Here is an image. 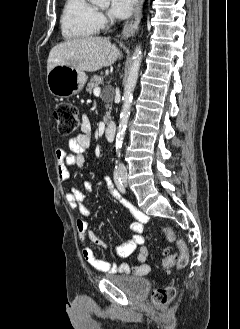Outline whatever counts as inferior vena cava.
Wrapping results in <instances>:
<instances>
[{
	"instance_id": "602c4592",
	"label": "inferior vena cava",
	"mask_w": 240,
	"mask_h": 329,
	"mask_svg": "<svg viewBox=\"0 0 240 329\" xmlns=\"http://www.w3.org/2000/svg\"><path fill=\"white\" fill-rule=\"evenodd\" d=\"M118 170H119V174H124V175L127 174V169H126V167L124 166V164H119V168H118Z\"/></svg>"
}]
</instances>
